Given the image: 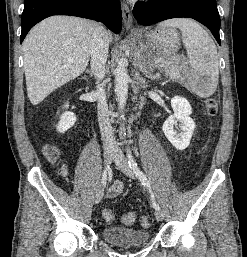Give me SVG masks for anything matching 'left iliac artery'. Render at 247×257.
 <instances>
[{"mask_svg":"<svg viewBox=\"0 0 247 257\" xmlns=\"http://www.w3.org/2000/svg\"><path fill=\"white\" fill-rule=\"evenodd\" d=\"M127 157H128V164H129L130 168L134 171L135 175L141 181L142 185H144V187H146L149 190L154 208L156 210H160V207H159L158 203L156 202L155 196L152 192L149 180L147 179L146 175L138 167V165L132 155V152L129 148H127Z\"/></svg>","mask_w":247,"mask_h":257,"instance_id":"obj_1","label":"left iliac artery"}]
</instances>
